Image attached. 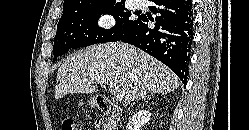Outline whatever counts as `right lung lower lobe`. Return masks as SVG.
Listing matches in <instances>:
<instances>
[{"label":"right lung lower lobe","mask_w":249,"mask_h":130,"mask_svg":"<svg viewBox=\"0 0 249 130\" xmlns=\"http://www.w3.org/2000/svg\"><path fill=\"white\" fill-rule=\"evenodd\" d=\"M155 20L141 15L139 21L118 41L132 44L166 64L187 83L193 39V4L189 0H152ZM149 20L154 28H148Z\"/></svg>","instance_id":"obj_1"}]
</instances>
